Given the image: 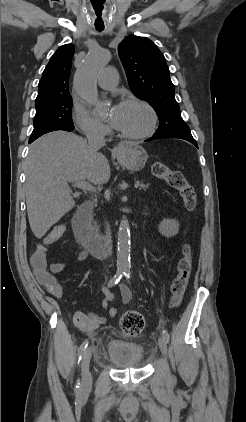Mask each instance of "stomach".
Instances as JSON below:
<instances>
[{"label":"stomach","mask_w":246,"mask_h":422,"mask_svg":"<svg viewBox=\"0 0 246 422\" xmlns=\"http://www.w3.org/2000/svg\"><path fill=\"white\" fill-rule=\"evenodd\" d=\"M116 155L120 164L131 171L143 169L148 159L145 149L134 142L121 143Z\"/></svg>","instance_id":"stomach-1"}]
</instances>
